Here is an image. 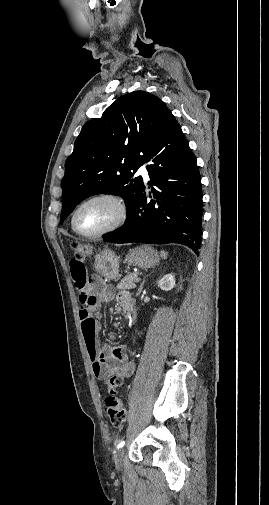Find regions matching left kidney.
Masks as SVG:
<instances>
[{"label":"left kidney","mask_w":269,"mask_h":505,"mask_svg":"<svg viewBox=\"0 0 269 505\" xmlns=\"http://www.w3.org/2000/svg\"><path fill=\"white\" fill-rule=\"evenodd\" d=\"M175 276L172 274H166L163 276L159 282L158 287L163 291H170L175 287Z\"/></svg>","instance_id":"left-kidney-1"}]
</instances>
